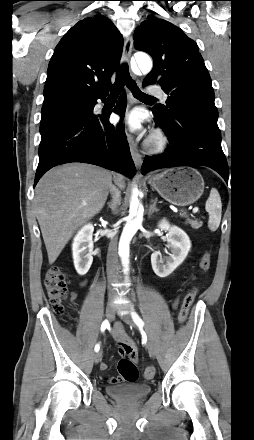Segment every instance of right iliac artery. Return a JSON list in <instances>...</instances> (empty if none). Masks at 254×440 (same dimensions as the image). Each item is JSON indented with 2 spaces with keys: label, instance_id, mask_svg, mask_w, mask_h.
I'll return each mask as SVG.
<instances>
[{
  "label": "right iliac artery",
  "instance_id": "82829eb1",
  "mask_svg": "<svg viewBox=\"0 0 254 440\" xmlns=\"http://www.w3.org/2000/svg\"><path fill=\"white\" fill-rule=\"evenodd\" d=\"M109 326H110V324H109L108 320H105L101 325V331L102 332L105 331V329L109 328ZM99 349H100L99 344H96L95 351L98 352Z\"/></svg>",
  "mask_w": 254,
  "mask_h": 440
}]
</instances>
